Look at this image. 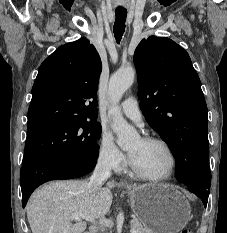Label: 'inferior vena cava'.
I'll return each instance as SVG.
<instances>
[{
    "instance_id": "obj_1",
    "label": "inferior vena cava",
    "mask_w": 227,
    "mask_h": 233,
    "mask_svg": "<svg viewBox=\"0 0 227 233\" xmlns=\"http://www.w3.org/2000/svg\"><path fill=\"white\" fill-rule=\"evenodd\" d=\"M111 176V163L108 157H100L89 180V187L98 190L103 182Z\"/></svg>"
}]
</instances>
